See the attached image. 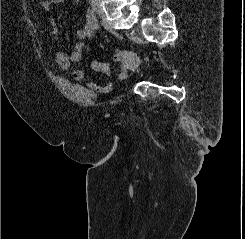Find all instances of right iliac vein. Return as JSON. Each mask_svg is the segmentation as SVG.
Masks as SVG:
<instances>
[{"label": "right iliac vein", "mask_w": 245, "mask_h": 239, "mask_svg": "<svg viewBox=\"0 0 245 239\" xmlns=\"http://www.w3.org/2000/svg\"><path fill=\"white\" fill-rule=\"evenodd\" d=\"M92 8H93L94 12H96V13L99 15V17H100L105 23L108 24V21H107V19H106V15H105L104 11L102 10V8H101L99 5H96V4H94V5L92 6ZM108 25H109V24H108Z\"/></svg>", "instance_id": "63e3f726"}]
</instances>
